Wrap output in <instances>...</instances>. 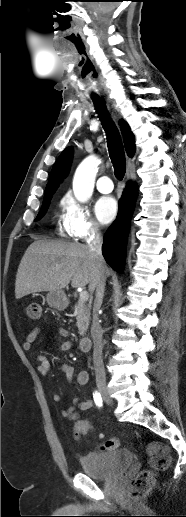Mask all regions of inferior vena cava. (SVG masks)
Instances as JSON below:
<instances>
[{"instance_id": "inferior-vena-cava-1", "label": "inferior vena cava", "mask_w": 186, "mask_h": 517, "mask_svg": "<svg viewBox=\"0 0 186 517\" xmlns=\"http://www.w3.org/2000/svg\"><path fill=\"white\" fill-rule=\"evenodd\" d=\"M87 246L92 252L96 259V265L98 267L99 274L95 283V300L93 305V319L91 325V336L94 343L93 349V364L95 369V375L97 380H105V368L103 364L102 351L103 343L102 336L103 330L100 325L98 311L101 307L103 294L105 289L106 275L103 273L104 259L102 256V236L99 227L95 225L91 230V235L87 239Z\"/></svg>"}]
</instances>
